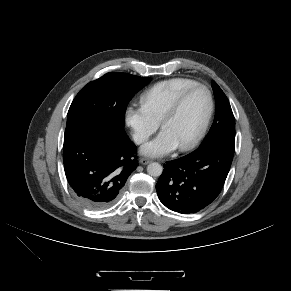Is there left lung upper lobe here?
<instances>
[{"label": "left lung upper lobe", "instance_id": "1", "mask_svg": "<svg viewBox=\"0 0 291 291\" xmlns=\"http://www.w3.org/2000/svg\"><path fill=\"white\" fill-rule=\"evenodd\" d=\"M212 87L216 102L215 120L200 147L222 140L235 142V119L230 103L216 82L213 81Z\"/></svg>", "mask_w": 291, "mask_h": 291}]
</instances>
